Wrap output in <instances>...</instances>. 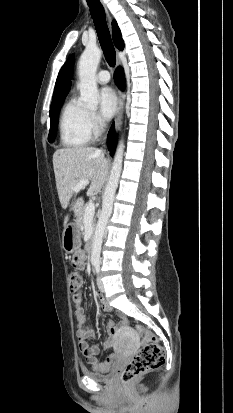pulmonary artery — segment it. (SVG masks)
I'll return each instance as SVG.
<instances>
[{
  "label": "pulmonary artery",
  "instance_id": "1",
  "mask_svg": "<svg viewBox=\"0 0 233 413\" xmlns=\"http://www.w3.org/2000/svg\"><path fill=\"white\" fill-rule=\"evenodd\" d=\"M97 82L101 83V84H106L110 81V74L107 70H101L98 74H97Z\"/></svg>",
  "mask_w": 233,
  "mask_h": 413
}]
</instances>
